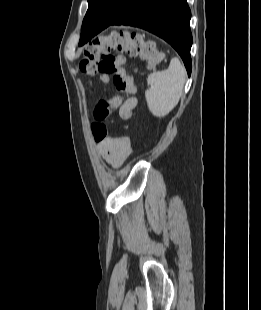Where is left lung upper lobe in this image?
<instances>
[{
  "instance_id": "5c2ea615",
  "label": "left lung upper lobe",
  "mask_w": 261,
  "mask_h": 310,
  "mask_svg": "<svg viewBox=\"0 0 261 310\" xmlns=\"http://www.w3.org/2000/svg\"><path fill=\"white\" fill-rule=\"evenodd\" d=\"M124 2L125 0H88L89 7L83 24L91 20L109 21L113 19L119 13Z\"/></svg>"
}]
</instances>
